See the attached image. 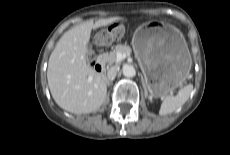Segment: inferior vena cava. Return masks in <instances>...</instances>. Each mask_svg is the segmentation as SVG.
I'll use <instances>...</instances> for the list:
<instances>
[{
	"label": "inferior vena cava",
	"instance_id": "obj_1",
	"mask_svg": "<svg viewBox=\"0 0 230 155\" xmlns=\"http://www.w3.org/2000/svg\"><path fill=\"white\" fill-rule=\"evenodd\" d=\"M117 71V67H112L107 73V80H113L116 77Z\"/></svg>",
	"mask_w": 230,
	"mask_h": 155
}]
</instances>
